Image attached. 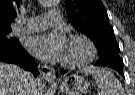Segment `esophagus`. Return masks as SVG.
<instances>
[{
    "mask_svg": "<svg viewBox=\"0 0 135 95\" xmlns=\"http://www.w3.org/2000/svg\"><path fill=\"white\" fill-rule=\"evenodd\" d=\"M40 75L48 82H54L56 75L52 67L48 65L39 64L38 66Z\"/></svg>",
    "mask_w": 135,
    "mask_h": 95,
    "instance_id": "1",
    "label": "esophagus"
}]
</instances>
